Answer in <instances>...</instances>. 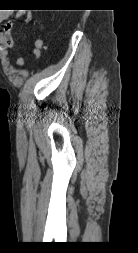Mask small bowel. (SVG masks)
<instances>
[{
	"mask_svg": "<svg viewBox=\"0 0 138 253\" xmlns=\"http://www.w3.org/2000/svg\"><path fill=\"white\" fill-rule=\"evenodd\" d=\"M6 15L7 14L5 12L0 14V24H2L3 21L6 19ZM17 16L18 17L24 16L26 22H30L32 19V16L29 13H20L19 12L17 14ZM12 27H13V21H8L5 24L4 28L2 30H0V50H1L2 56L4 58L7 57L9 51L12 50L14 47V41L11 36ZM23 62H24L23 58L19 57L17 60V65L22 66Z\"/></svg>",
	"mask_w": 138,
	"mask_h": 253,
	"instance_id": "c3829d8e",
	"label": "small bowel"
}]
</instances>
